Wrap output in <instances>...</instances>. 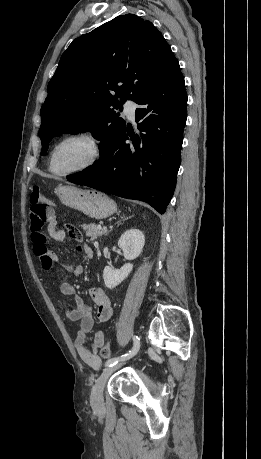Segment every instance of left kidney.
Wrapping results in <instances>:
<instances>
[{"label": "left kidney", "mask_w": 261, "mask_h": 459, "mask_svg": "<svg viewBox=\"0 0 261 459\" xmlns=\"http://www.w3.org/2000/svg\"><path fill=\"white\" fill-rule=\"evenodd\" d=\"M145 244V236L138 229H130L121 235L118 246L122 249L125 259L133 260L137 258ZM133 269V264L126 263L120 269L106 266L103 271L105 286L113 289L123 282Z\"/></svg>", "instance_id": "5707ae66"}]
</instances>
